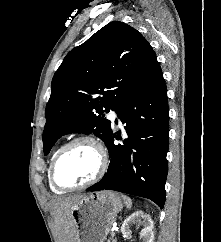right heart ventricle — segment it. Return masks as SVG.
Returning a JSON list of instances; mask_svg holds the SVG:
<instances>
[{"mask_svg": "<svg viewBox=\"0 0 221 242\" xmlns=\"http://www.w3.org/2000/svg\"><path fill=\"white\" fill-rule=\"evenodd\" d=\"M60 147H61V146H57V147L53 150V152H52V154H51V156H50L49 167H48V177H49L50 165H51V163H52V161H53V159H54L56 153H57L58 150L60 149ZM49 187H50V189H51L53 192H55V193H62V192H63L62 190L57 189L56 187H54V186L52 185V183H51V181H50V177H49Z\"/></svg>", "mask_w": 221, "mask_h": 242, "instance_id": "1", "label": "right heart ventricle"}]
</instances>
